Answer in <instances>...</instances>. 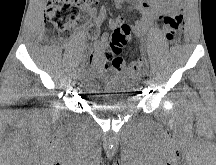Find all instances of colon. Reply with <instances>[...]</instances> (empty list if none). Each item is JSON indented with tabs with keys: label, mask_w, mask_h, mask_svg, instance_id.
<instances>
[{
	"label": "colon",
	"mask_w": 216,
	"mask_h": 165,
	"mask_svg": "<svg viewBox=\"0 0 216 165\" xmlns=\"http://www.w3.org/2000/svg\"><path fill=\"white\" fill-rule=\"evenodd\" d=\"M46 16L47 22L52 31L61 39L69 36L71 29L79 21L88 22V17L82 14L83 8L92 7L99 4L100 0H47ZM184 22L181 13L166 14L162 17V27L165 38L168 42H173L178 36ZM98 34L97 26L89 28V35L94 38ZM132 35V28L128 24H121L114 27L109 50L101 53L93 52L88 61V67L92 72L103 75L110 67L114 70L126 74L134 75L145 68L144 60H136L126 64L121 57L122 49L127 44Z\"/></svg>",
	"instance_id": "1"
}]
</instances>
